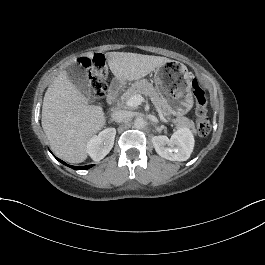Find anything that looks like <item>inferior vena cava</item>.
Wrapping results in <instances>:
<instances>
[{
	"label": "inferior vena cava",
	"instance_id": "1",
	"mask_svg": "<svg viewBox=\"0 0 265 265\" xmlns=\"http://www.w3.org/2000/svg\"><path fill=\"white\" fill-rule=\"evenodd\" d=\"M112 119L116 122H126L131 118V112L126 110L115 111L111 115Z\"/></svg>",
	"mask_w": 265,
	"mask_h": 265
}]
</instances>
